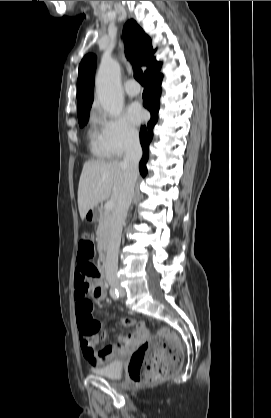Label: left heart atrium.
I'll return each instance as SVG.
<instances>
[{
	"label": "left heart atrium",
	"instance_id": "39dd6f15",
	"mask_svg": "<svg viewBox=\"0 0 271 418\" xmlns=\"http://www.w3.org/2000/svg\"><path fill=\"white\" fill-rule=\"evenodd\" d=\"M129 117L135 124H139L144 118L143 109L138 104H133L129 108Z\"/></svg>",
	"mask_w": 271,
	"mask_h": 418
}]
</instances>
